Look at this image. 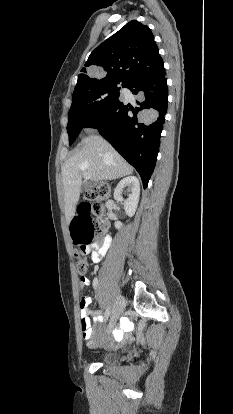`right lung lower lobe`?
<instances>
[{"label": "right lung lower lobe", "instance_id": "1", "mask_svg": "<svg viewBox=\"0 0 233 414\" xmlns=\"http://www.w3.org/2000/svg\"><path fill=\"white\" fill-rule=\"evenodd\" d=\"M126 88L139 95L138 107L118 100L84 128H96L138 171L146 188L155 167L167 112L165 70L133 79Z\"/></svg>", "mask_w": 233, "mask_h": 414}]
</instances>
